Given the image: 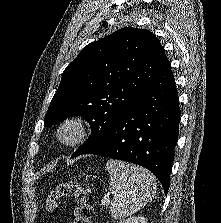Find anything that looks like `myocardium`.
Masks as SVG:
<instances>
[{
  "mask_svg": "<svg viewBox=\"0 0 221 223\" xmlns=\"http://www.w3.org/2000/svg\"><path fill=\"white\" fill-rule=\"evenodd\" d=\"M72 131V137L63 138L66 131ZM95 127L86 116L74 114L64 118L55 130L54 137L56 142L65 148H72L86 143L94 134Z\"/></svg>",
  "mask_w": 221,
  "mask_h": 223,
  "instance_id": "obj_1",
  "label": "myocardium"
}]
</instances>
